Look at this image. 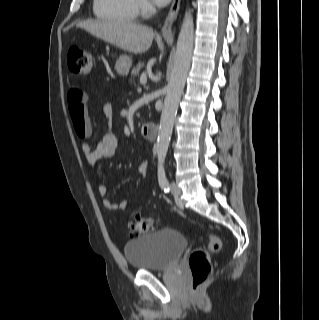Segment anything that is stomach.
<instances>
[{"label":"stomach","mask_w":319,"mask_h":320,"mask_svg":"<svg viewBox=\"0 0 319 320\" xmlns=\"http://www.w3.org/2000/svg\"><path fill=\"white\" fill-rule=\"evenodd\" d=\"M132 65V59L127 55H121L116 61L115 70L120 76H127Z\"/></svg>","instance_id":"obj_1"}]
</instances>
